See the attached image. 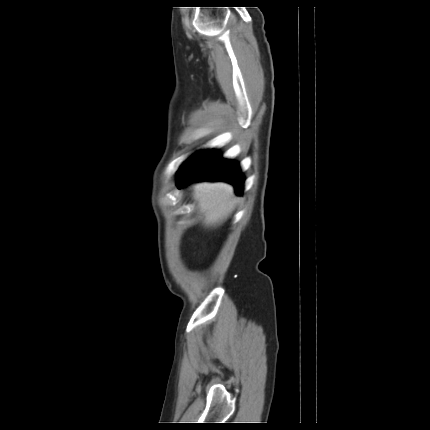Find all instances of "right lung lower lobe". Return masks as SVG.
<instances>
[{
    "instance_id": "98d812e1",
    "label": "right lung lower lobe",
    "mask_w": 430,
    "mask_h": 430,
    "mask_svg": "<svg viewBox=\"0 0 430 430\" xmlns=\"http://www.w3.org/2000/svg\"><path fill=\"white\" fill-rule=\"evenodd\" d=\"M227 181L235 187L237 194L243 193L244 177L239 163L221 158L217 150H209L191 165L178 172L177 186L181 188L193 181Z\"/></svg>"
}]
</instances>
